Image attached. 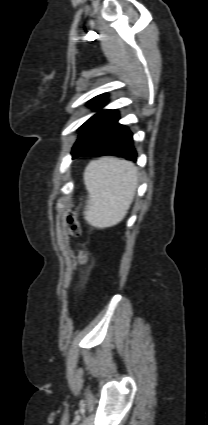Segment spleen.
Wrapping results in <instances>:
<instances>
[{
    "instance_id": "spleen-1",
    "label": "spleen",
    "mask_w": 208,
    "mask_h": 425,
    "mask_svg": "<svg viewBox=\"0 0 208 425\" xmlns=\"http://www.w3.org/2000/svg\"><path fill=\"white\" fill-rule=\"evenodd\" d=\"M83 180L89 193L85 211L89 224L105 228L123 220L138 186L135 165L115 157H102L88 163Z\"/></svg>"
}]
</instances>
